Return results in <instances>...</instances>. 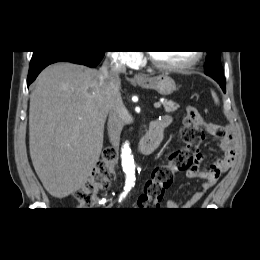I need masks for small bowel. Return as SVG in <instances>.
Returning <instances> with one entry per match:
<instances>
[{"instance_id":"1","label":"small bowel","mask_w":260,"mask_h":260,"mask_svg":"<svg viewBox=\"0 0 260 260\" xmlns=\"http://www.w3.org/2000/svg\"><path fill=\"white\" fill-rule=\"evenodd\" d=\"M161 119L166 122L167 126L172 121L170 116H164ZM196 124L207 134L220 140V148L224 154L223 157L216 159L208 167L203 166L206 155L202 152L196 154L192 167L186 170L185 175L190 179H202L204 182L201 188L184 203H178L173 199L168 200L166 208L169 210H188L192 208L217 183L220 176L232 166L236 157L237 135L230 125L222 126L206 122L199 113L196 116ZM138 206L143 209L155 207L143 194L139 197Z\"/></svg>"}]
</instances>
